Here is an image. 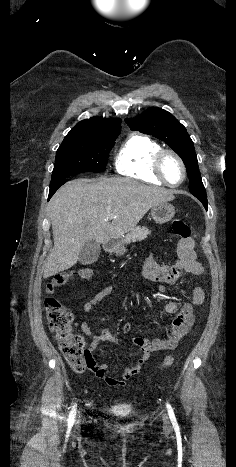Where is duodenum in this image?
<instances>
[{
    "label": "duodenum",
    "instance_id": "duodenum-1",
    "mask_svg": "<svg viewBox=\"0 0 236 467\" xmlns=\"http://www.w3.org/2000/svg\"><path fill=\"white\" fill-rule=\"evenodd\" d=\"M103 246L106 251H112L115 246V240L110 239V238L106 239L103 242Z\"/></svg>",
    "mask_w": 236,
    "mask_h": 467
}]
</instances>
